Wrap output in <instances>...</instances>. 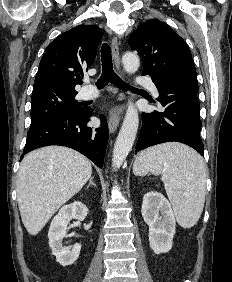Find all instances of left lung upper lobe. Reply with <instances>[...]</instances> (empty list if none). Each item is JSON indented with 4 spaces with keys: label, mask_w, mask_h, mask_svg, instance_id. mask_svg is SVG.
Wrapping results in <instances>:
<instances>
[{
    "label": "left lung upper lobe",
    "mask_w": 232,
    "mask_h": 282,
    "mask_svg": "<svg viewBox=\"0 0 232 282\" xmlns=\"http://www.w3.org/2000/svg\"><path fill=\"white\" fill-rule=\"evenodd\" d=\"M143 63V75L154 81L197 84L196 69L184 40L157 19L141 23L128 41Z\"/></svg>",
    "instance_id": "obj_1"
}]
</instances>
